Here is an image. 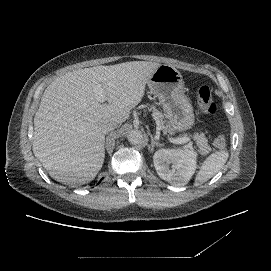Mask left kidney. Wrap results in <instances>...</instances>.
Listing matches in <instances>:
<instances>
[{"instance_id":"1","label":"left kidney","mask_w":271,"mask_h":271,"mask_svg":"<svg viewBox=\"0 0 271 271\" xmlns=\"http://www.w3.org/2000/svg\"><path fill=\"white\" fill-rule=\"evenodd\" d=\"M153 160L159 177L178 186L189 182L196 166L193 153L188 151L159 150Z\"/></svg>"}]
</instances>
